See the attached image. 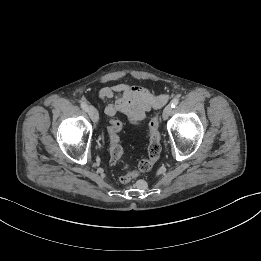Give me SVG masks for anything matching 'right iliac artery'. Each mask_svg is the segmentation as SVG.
Here are the masks:
<instances>
[{
	"instance_id": "right-iliac-artery-1",
	"label": "right iliac artery",
	"mask_w": 261,
	"mask_h": 261,
	"mask_svg": "<svg viewBox=\"0 0 261 261\" xmlns=\"http://www.w3.org/2000/svg\"><path fill=\"white\" fill-rule=\"evenodd\" d=\"M80 106L83 110H85L86 112L88 111V105L85 102H81Z\"/></svg>"
}]
</instances>
